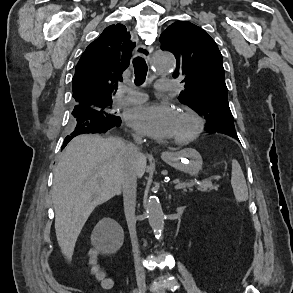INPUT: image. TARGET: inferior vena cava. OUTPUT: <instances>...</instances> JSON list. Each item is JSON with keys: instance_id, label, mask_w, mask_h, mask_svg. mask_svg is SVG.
<instances>
[{"instance_id": "obj_1", "label": "inferior vena cava", "mask_w": 293, "mask_h": 293, "mask_svg": "<svg viewBox=\"0 0 293 293\" xmlns=\"http://www.w3.org/2000/svg\"><path fill=\"white\" fill-rule=\"evenodd\" d=\"M136 143L142 142V136L134 135ZM128 157L125 161L121 176V190L123 193L124 209L126 220L130 232L133 255L135 261V268L137 272H142L143 268L141 266L140 251L136 235V219H135V206H136V189H137V176L134 170V159L139 157L141 154L134 145H128Z\"/></svg>"}]
</instances>
